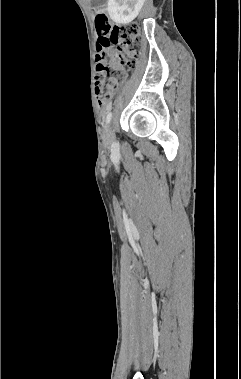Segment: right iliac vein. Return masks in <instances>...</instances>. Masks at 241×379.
<instances>
[{
	"instance_id": "1",
	"label": "right iliac vein",
	"mask_w": 241,
	"mask_h": 379,
	"mask_svg": "<svg viewBox=\"0 0 241 379\" xmlns=\"http://www.w3.org/2000/svg\"><path fill=\"white\" fill-rule=\"evenodd\" d=\"M107 141H108V143L114 142V137H113V133L111 130L109 131V133L107 135Z\"/></svg>"
}]
</instances>
